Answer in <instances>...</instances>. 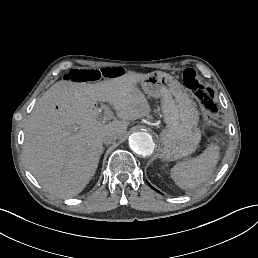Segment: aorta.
<instances>
[{"instance_id":"1","label":"aorta","mask_w":258,"mask_h":258,"mask_svg":"<svg viewBox=\"0 0 258 258\" xmlns=\"http://www.w3.org/2000/svg\"><path fill=\"white\" fill-rule=\"evenodd\" d=\"M130 148L140 156H150L155 148L152 136L147 132H135L129 138Z\"/></svg>"}]
</instances>
